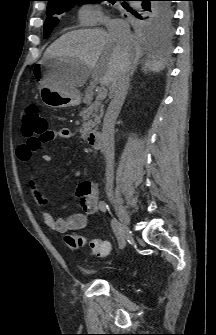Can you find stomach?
I'll return each instance as SVG.
<instances>
[{
    "label": "stomach",
    "instance_id": "stomach-1",
    "mask_svg": "<svg viewBox=\"0 0 216 335\" xmlns=\"http://www.w3.org/2000/svg\"><path fill=\"white\" fill-rule=\"evenodd\" d=\"M74 60L53 58L42 60L34 67V76L41 87L39 95L41 101L52 108H67L78 105V92L66 85L65 76L75 65Z\"/></svg>",
    "mask_w": 216,
    "mask_h": 335
}]
</instances>
